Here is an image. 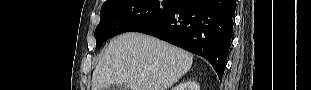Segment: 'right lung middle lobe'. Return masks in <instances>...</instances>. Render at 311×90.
<instances>
[{
    "mask_svg": "<svg viewBox=\"0 0 311 90\" xmlns=\"http://www.w3.org/2000/svg\"><path fill=\"white\" fill-rule=\"evenodd\" d=\"M179 0H108L100 11L95 30L96 48L105 40L129 31L145 28L170 13Z\"/></svg>",
    "mask_w": 311,
    "mask_h": 90,
    "instance_id": "right-lung-middle-lobe-1",
    "label": "right lung middle lobe"
}]
</instances>
